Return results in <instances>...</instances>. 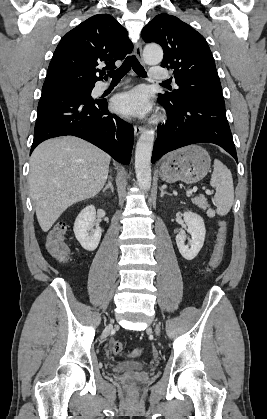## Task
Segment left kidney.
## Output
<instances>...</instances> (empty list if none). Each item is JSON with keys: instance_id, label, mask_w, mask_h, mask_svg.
<instances>
[{"instance_id": "1", "label": "left kidney", "mask_w": 267, "mask_h": 419, "mask_svg": "<svg viewBox=\"0 0 267 419\" xmlns=\"http://www.w3.org/2000/svg\"><path fill=\"white\" fill-rule=\"evenodd\" d=\"M183 218L188 226L187 232L191 234L190 246L185 245V234L183 233L176 235V243L183 258L192 260L203 247L206 229L203 218L196 213L186 211Z\"/></svg>"}]
</instances>
